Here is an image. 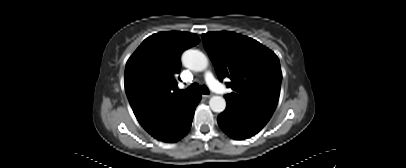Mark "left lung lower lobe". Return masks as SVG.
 Masks as SVG:
<instances>
[{
	"mask_svg": "<svg viewBox=\"0 0 406 168\" xmlns=\"http://www.w3.org/2000/svg\"><path fill=\"white\" fill-rule=\"evenodd\" d=\"M227 101V107L218 118L220 128L236 140L250 138L257 134L270 120L272 114L250 108L233 101Z\"/></svg>",
	"mask_w": 406,
	"mask_h": 168,
	"instance_id": "0a47b994",
	"label": "left lung lower lobe"
}]
</instances>
